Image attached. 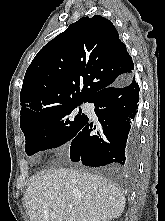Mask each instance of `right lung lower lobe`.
<instances>
[{"label": "right lung lower lobe", "mask_w": 165, "mask_h": 221, "mask_svg": "<svg viewBox=\"0 0 165 221\" xmlns=\"http://www.w3.org/2000/svg\"><path fill=\"white\" fill-rule=\"evenodd\" d=\"M89 102L95 104L99 124L87 119L71 140V160L92 167L118 164L135 169L139 158V85L135 77L100 90Z\"/></svg>", "instance_id": "obj_1"}]
</instances>
